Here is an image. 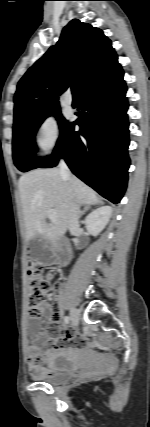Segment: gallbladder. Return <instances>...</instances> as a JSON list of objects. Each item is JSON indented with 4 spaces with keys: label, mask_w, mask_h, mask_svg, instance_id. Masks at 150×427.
Listing matches in <instances>:
<instances>
[{
    "label": "gallbladder",
    "mask_w": 150,
    "mask_h": 427,
    "mask_svg": "<svg viewBox=\"0 0 150 427\" xmlns=\"http://www.w3.org/2000/svg\"><path fill=\"white\" fill-rule=\"evenodd\" d=\"M30 255L32 258L41 262L42 264H51L53 256L50 252V243L41 236L34 237L29 242Z\"/></svg>",
    "instance_id": "gallbladder-1"
}]
</instances>
